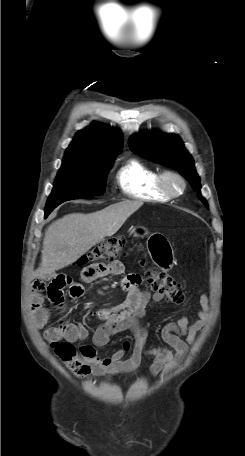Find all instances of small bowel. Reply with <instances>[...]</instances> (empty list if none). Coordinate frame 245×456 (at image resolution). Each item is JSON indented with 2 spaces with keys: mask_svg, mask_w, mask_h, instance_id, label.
I'll return each instance as SVG.
<instances>
[{
  "mask_svg": "<svg viewBox=\"0 0 245 456\" xmlns=\"http://www.w3.org/2000/svg\"><path fill=\"white\" fill-rule=\"evenodd\" d=\"M109 276H120L121 287L128 292L126 300L112 308L98 311V316L104 321L94 335L96 346L106 345L111 336L125 330H130L134 336L131 345L125 342L123 348L116 350L106 358H99L92 346H82V359L88 366L87 375L90 377L112 376L119 373H134L138 370L143 356L152 357L149 373L152 376L166 375L183 360L189 347L195 342L198 332L206 325L210 304L207 294L200 292L198 319L190 322L187 316H182L175 322L168 323L162 328L161 337L167 347H146L147 329L141 323L145 308L150 301L160 302L164 295L159 292L141 290V276L136 273L126 274L122 262L118 260L105 264H92L84 268L80 274V281L73 282L64 274H49L32 283V297L30 302L32 318L38 328H43L50 318V311L44 306L43 292L48 299L61 307L64 298L63 290L69 287V294L79 298L84 293V283H93ZM48 342L60 340L78 342L88 337L85 325L78 323L61 322L59 326L49 327L44 331ZM131 350L127 359H123L126 351Z\"/></svg>",
  "mask_w": 245,
  "mask_h": 456,
  "instance_id": "1",
  "label": "small bowel"
}]
</instances>
